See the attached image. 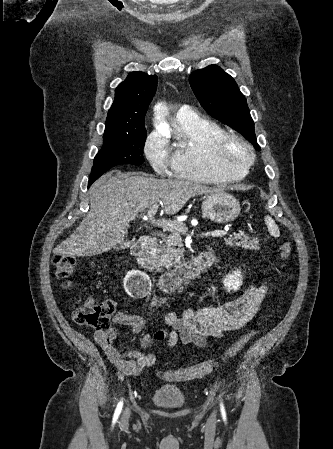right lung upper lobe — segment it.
<instances>
[{
    "mask_svg": "<svg viewBox=\"0 0 333 449\" xmlns=\"http://www.w3.org/2000/svg\"><path fill=\"white\" fill-rule=\"evenodd\" d=\"M157 76L131 72L115 92L105 123L107 135H136L145 128V114L157 87Z\"/></svg>",
    "mask_w": 333,
    "mask_h": 449,
    "instance_id": "1",
    "label": "right lung upper lobe"
}]
</instances>
